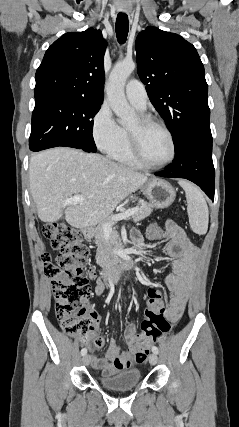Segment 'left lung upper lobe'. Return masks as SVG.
<instances>
[{"mask_svg":"<svg viewBox=\"0 0 239 427\" xmlns=\"http://www.w3.org/2000/svg\"><path fill=\"white\" fill-rule=\"evenodd\" d=\"M135 48L139 77L172 134L175 151L193 137L211 136L208 85L195 47L178 34L147 27Z\"/></svg>","mask_w":239,"mask_h":427,"instance_id":"1","label":"left lung upper lobe"}]
</instances>
